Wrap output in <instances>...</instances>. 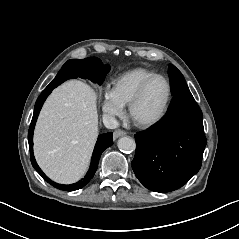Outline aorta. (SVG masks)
I'll return each instance as SVG.
<instances>
[{"label": "aorta", "instance_id": "1", "mask_svg": "<svg viewBox=\"0 0 239 239\" xmlns=\"http://www.w3.org/2000/svg\"><path fill=\"white\" fill-rule=\"evenodd\" d=\"M118 148L126 153H131L136 150V142L132 138L122 137L118 140Z\"/></svg>", "mask_w": 239, "mask_h": 239}]
</instances>
